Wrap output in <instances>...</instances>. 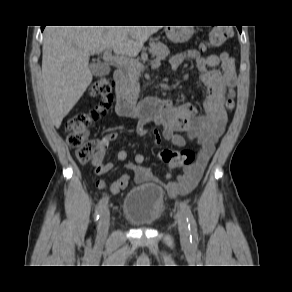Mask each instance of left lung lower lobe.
Returning a JSON list of instances; mask_svg holds the SVG:
<instances>
[{"instance_id": "0a47b994", "label": "left lung lower lobe", "mask_w": 292, "mask_h": 292, "mask_svg": "<svg viewBox=\"0 0 292 292\" xmlns=\"http://www.w3.org/2000/svg\"><path fill=\"white\" fill-rule=\"evenodd\" d=\"M238 30L241 32V26L238 27Z\"/></svg>"}]
</instances>
